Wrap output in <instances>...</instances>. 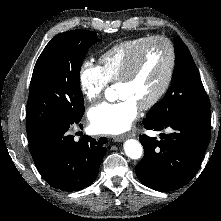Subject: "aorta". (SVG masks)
Listing matches in <instances>:
<instances>
[{
    "label": "aorta",
    "instance_id": "obj_1",
    "mask_svg": "<svg viewBox=\"0 0 221 221\" xmlns=\"http://www.w3.org/2000/svg\"><path fill=\"white\" fill-rule=\"evenodd\" d=\"M123 147L126 155L131 159H140L143 154L141 143L135 139L126 140Z\"/></svg>",
    "mask_w": 221,
    "mask_h": 221
}]
</instances>
